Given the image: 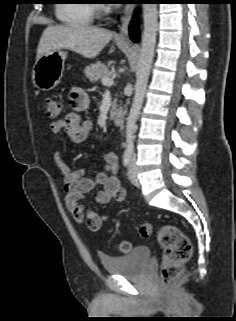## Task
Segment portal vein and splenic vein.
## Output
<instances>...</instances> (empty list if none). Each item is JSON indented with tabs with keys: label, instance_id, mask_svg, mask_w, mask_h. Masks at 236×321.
I'll return each mask as SVG.
<instances>
[{
	"label": "portal vein and splenic vein",
	"instance_id": "obj_1",
	"mask_svg": "<svg viewBox=\"0 0 236 321\" xmlns=\"http://www.w3.org/2000/svg\"><path fill=\"white\" fill-rule=\"evenodd\" d=\"M101 81H102V84L106 86H111L114 83L113 77H109V76L103 77Z\"/></svg>",
	"mask_w": 236,
	"mask_h": 321
}]
</instances>
